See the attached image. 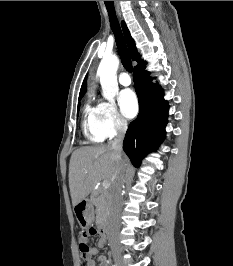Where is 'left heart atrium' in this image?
Returning a JSON list of instances; mask_svg holds the SVG:
<instances>
[{
  "mask_svg": "<svg viewBox=\"0 0 233 266\" xmlns=\"http://www.w3.org/2000/svg\"><path fill=\"white\" fill-rule=\"evenodd\" d=\"M122 114L126 118H133L138 112V100L131 89L122 90L118 97Z\"/></svg>",
  "mask_w": 233,
  "mask_h": 266,
  "instance_id": "39dd6f15",
  "label": "left heart atrium"
}]
</instances>
